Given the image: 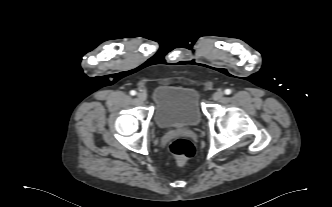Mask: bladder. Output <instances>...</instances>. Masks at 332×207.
<instances>
[{
    "mask_svg": "<svg viewBox=\"0 0 332 207\" xmlns=\"http://www.w3.org/2000/svg\"><path fill=\"white\" fill-rule=\"evenodd\" d=\"M152 100L153 119L159 128L195 126L202 120L200 94L194 88L158 86Z\"/></svg>",
    "mask_w": 332,
    "mask_h": 207,
    "instance_id": "31cf9c89",
    "label": "bladder"
}]
</instances>
